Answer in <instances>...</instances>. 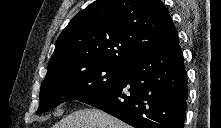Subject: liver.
Masks as SVG:
<instances>
[{"label":"liver","mask_w":221,"mask_h":128,"mask_svg":"<svg viewBox=\"0 0 221 128\" xmlns=\"http://www.w3.org/2000/svg\"><path fill=\"white\" fill-rule=\"evenodd\" d=\"M53 128H130V126L102 110L89 108L71 113Z\"/></svg>","instance_id":"liver-1"}]
</instances>
